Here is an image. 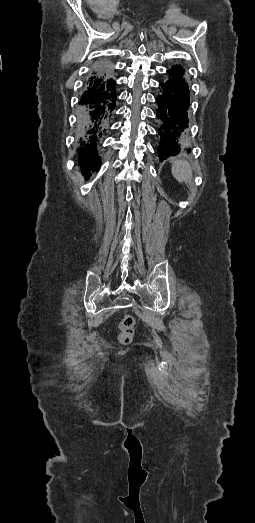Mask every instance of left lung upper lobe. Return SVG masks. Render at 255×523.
<instances>
[{"label": "left lung upper lobe", "instance_id": "obj_1", "mask_svg": "<svg viewBox=\"0 0 255 523\" xmlns=\"http://www.w3.org/2000/svg\"><path fill=\"white\" fill-rule=\"evenodd\" d=\"M184 72L185 71H184L183 67L180 65H173L171 69L167 70V73L170 76H173L175 78V81H178L179 84H183L188 87V83L186 82V80L184 78ZM187 116H188V114H187ZM188 123H189V119H188ZM161 125H162V121H161ZM159 129H161V128H159ZM159 136H160V134H159ZM182 137H185V140H186V136H182ZM160 143H161V140H160L159 144ZM158 148H160V147L158 146ZM157 152H158V149H157ZM158 154H161V153H158ZM173 155H176V154L174 153Z\"/></svg>", "mask_w": 255, "mask_h": 523}]
</instances>
